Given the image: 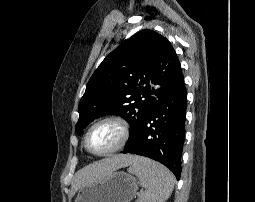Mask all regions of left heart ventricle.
Here are the masks:
<instances>
[{"instance_id": "left-heart-ventricle-1", "label": "left heart ventricle", "mask_w": 255, "mask_h": 202, "mask_svg": "<svg viewBox=\"0 0 255 202\" xmlns=\"http://www.w3.org/2000/svg\"><path fill=\"white\" fill-rule=\"evenodd\" d=\"M119 137V130L115 125L103 124L91 132L88 145L94 152H105L117 144Z\"/></svg>"}]
</instances>
